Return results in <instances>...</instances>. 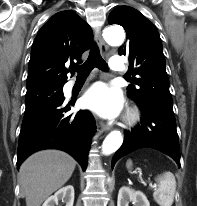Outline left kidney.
<instances>
[{"label":"left kidney","mask_w":197,"mask_h":206,"mask_svg":"<svg viewBox=\"0 0 197 206\" xmlns=\"http://www.w3.org/2000/svg\"><path fill=\"white\" fill-rule=\"evenodd\" d=\"M129 201L135 206H150L147 197L141 191H134L130 187L123 186L118 193L117 206H128Z\"/></svg>","instance_id":"1"}]
</instances>
